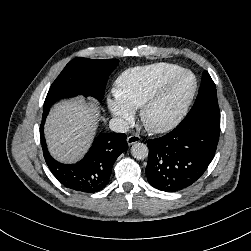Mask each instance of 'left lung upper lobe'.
<instances>
[{"label": "left lung upper lobe", "mask_w": 251, "mask_h": 251, "mask_svg": "<svg viewBox=\"0 0 251 251\" xmlns=\"http://www.w3.org/2000/svg\"><path fill=\"white\" fill-rule=\"evenodd\" d=\"M191 114L210 113L220 115L215 84L207 71L203 72L202 83Z\"/></svg>", "instance_id": "1"}]
</instances>
